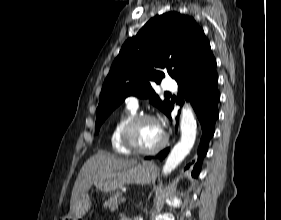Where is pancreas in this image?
<instances>
[{
  "label": "pancreas",
  "instance_id": "1",
  "mask_svg": "<svg viewBox=\"0 0 281 220\" xmlns=\"http://www.w3.org/2000/svg\"><path fill=\"white\" fill-rule=\"evenodd\" d=\"M122 198V193L117 192L112 195L107 201L104 203V207H108L111 211H115L118 208Z\"/></svg>",
  "mask_w": 281,
  "mask_h": 220
}]
</instances>
